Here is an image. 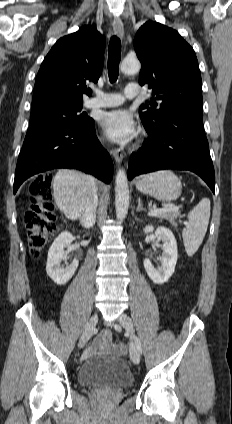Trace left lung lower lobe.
<instances>
[{"label":"left lung lower lobe","mask_w":232,"mask_h":424,"mask_svg":"<svg viewBox=\"0 0 232 424\" xmlns=\"http://www.w3.org/2000/svg\"><path fill=\"white\" fill-rule=\"evenodd\" d=\"M142 123L149 135L128 165V179L163 169L190 170L198 174L215 193V174L202 111L182 110L168 115L161 125Z\"/></svg>","instance_id":"1"}]
</instances>
